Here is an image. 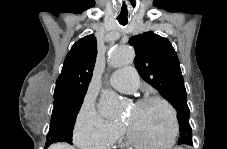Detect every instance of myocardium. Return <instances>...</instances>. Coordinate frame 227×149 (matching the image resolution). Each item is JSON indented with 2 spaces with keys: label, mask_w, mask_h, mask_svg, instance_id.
<instances>
[{
  "label": "myocardium",
  "mask_w": 227,
  "mask_h": 149,
  "mask_svg": "<svg viewBox=\"0 0 227 149\" xmlns=\"http://www.w3.org/2000/svg\"><path fill=\"white\" fill-rule=\"evenodd\" d=\"M152 102L161 103L170 111L172 116V121H173V131L170 138L165 142L148 140L142 137L141 135H139L129 122L124 121L126 132L130 137V139L137 145L150 146V147L172 146L175 143L177 136L179 134V121H178L177 111L170 102H168L166 99L159 96H148V97L141 98L135 103V107H139Z\"/></svg>",
  "instance_id": "1"
}]
</instances>
